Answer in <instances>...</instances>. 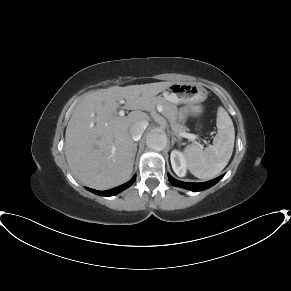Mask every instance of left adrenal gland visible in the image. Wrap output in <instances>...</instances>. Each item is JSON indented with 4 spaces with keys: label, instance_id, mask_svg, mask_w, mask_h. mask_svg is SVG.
I'll return each instance as SVG.
<instances>
[{
    "label": "left adrenal gland",
    "instance_id": "obj_1",
    "mask_svg": "<svg viewBox=\"0 0 291 291\" xmlns=\"http://www.w3.org/2000/svg\"><path fill=\"white\" fill-rule=\"evenodd\" d=\"M175 142L180 143L179 139H177L174 135H172V145H173Z\"/></svg>",
    "mask_w": 291,
    "mask_h": 291
}]
</instances>
